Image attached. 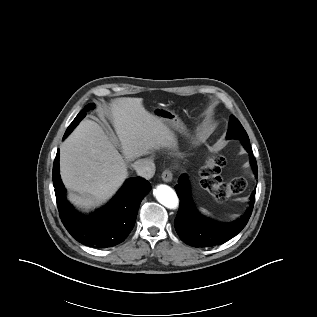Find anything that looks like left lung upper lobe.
<instances>
[{"label": "left lung upper lobe", "instance_id": "5c2ea615", "mask_svg": "<svg viewBox=\"0 0 317 317\" xmlns=\"http://www.w3.org/2000/svg\"><path fill=\"white\" fill-rule=\"evenodd\" d=\"M227 139H239L242 144H250L249 137L243 126L235 116H231L229 128L227 132Z\"/></svg>", "mask_w": 317, "mask_h": 317}]
</instances>
